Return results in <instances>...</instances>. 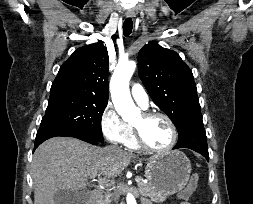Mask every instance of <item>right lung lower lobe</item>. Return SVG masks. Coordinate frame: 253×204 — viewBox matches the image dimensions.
<instances>
[{"label":"right lung lower lobe","instance_id":"right-lung-lower-lobe-1","mask_svg":"<svg viewBox=\"0 0 253 204\" xmlns=\"http://www.w3.org/2000/svg\"><path fill=\"white\" fill-rule=\"evenodd\" d=\"M56 136L75 137L93 145H97L99 143V141L95 140L94 138L85 136L75 131H69L60 128L40 127L36 135L34 150L45 140Z\"/></svg>","mask_w":253,"mask_h":204}]
</instances>
